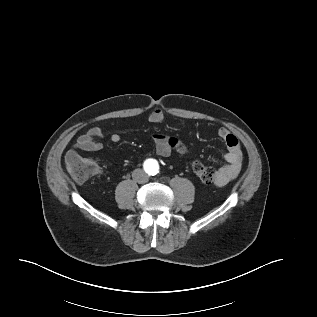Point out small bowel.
<instances>
[{
	"label": "small bowel",
	"mask_w": 317,
	"mask_h": 317,
	"mask_svg": "<svg viewBox=\"0 0 317 317\" xmlns=\"http://www.w3.org/2000/svg\"><path fill=\"white\" fill-rule=\"evenodd\" d=\"M148 119L152 123L160 124L165 121V116L161 109L155 108L150 112ZM102 137L103 131L100 127L94 126L89 128L85 134L78 138L75 149L68 152L67 161L70 162L76 158H80L78 150L88 153L100 151L103 148V143L100 141ZM218 137L227 147L225 154L227 164L217 171L215 178V185L223 186L238 176L243 164V153L238 138L226 128L218 130ZM110 140L113 143H118L121 137L113 133L110 135ZM155 148L157 154L162 157H168L173 152L184 153L187 150L184 143L180 140L160 135L156 136Z\"/></svg>",
	"instance_id": "c3829d8e"
}]
</instances>
